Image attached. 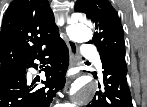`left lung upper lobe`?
<instances>
[{
    "instance_id": "obj_1",
    "label": "left lung upper lobe",
    "mask_w": 147,
    "mask_h": 107,
    "mask_svg": "<svg viewBox=\"0 0 147 107\" xmlns=\"http://www.w3.org/2000/svg\"><path fill=\"white\" fill-rule=\"evenodd\" d=\"M75 12L85 13L93 21L96 32L89 43L97 47L100 55L115 50L125 51L123 27L108 0H77Z\"/></svg>"
}]
</instances>
